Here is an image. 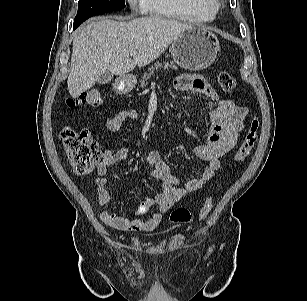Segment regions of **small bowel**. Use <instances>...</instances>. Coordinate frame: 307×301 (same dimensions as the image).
I'll list each match as a JSON object with an SVG mask.
<instances>
[{"label":"small bowel","instance_id":"obj_1","mask_svg":"<svg viewBox=\"0 0 307 301\" xmlns=\"http://www.w3.org/2000/svg\"><path fill=\"white\" fill-rule=\"evenodd\" d=\"M175 88L181 92H195L211 100L215 106L209 112L210 127L207 141L195 147V156L206 162L207 166L195 178L188 179L183 186L166 167L158 151H150L146 161L150 168V175L160 182L161 191L154 197L141 201L129 215H118L115 211H102L100 220L115 229L125 232L152 231L160 222L162 216L184 195L202 190L215 176L221 167L220 158L234 148L243 129L244 119L248 109L235 104L230 99L221 98L213 88L199 75H181L175 80ZM139 117L136 109H123L103 122V127L109 132H118L127 120ZM128 157V149L103 152V160L97 168L95 184L98 201L102 206L110 203V194L107 189L109 168ZM156 206L155 212L148 219L142 216Z\"/></svg>","mask_w":307,"mask_h":301}]
</instances>
